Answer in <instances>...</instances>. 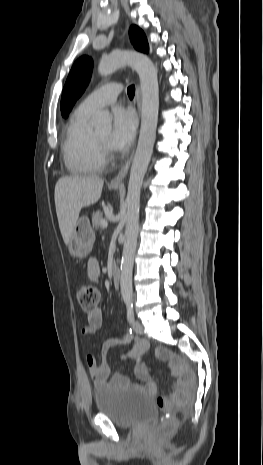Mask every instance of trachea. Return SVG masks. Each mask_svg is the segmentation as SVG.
<instances>
[{"instance_id": "1", "label": "trachea", "mask_w": 263, "mask_h": 465, "mask_svg": "<svg viewBox=\"0 0 263 465\" xmlns=\"http://www.w3.org/2000/svg\"><path fill=\"white\" fill-rule=\"evenodd\" d=\"M127 93L130 98H133L135 94V86L134 85L129 86L127 89Z\"/></svg>"}]
</instances>
